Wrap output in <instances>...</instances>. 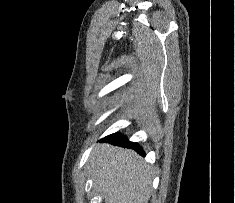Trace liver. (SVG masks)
Returning a JSON list of instances; mask_svg holds the SVG:
<instances>
[{"mask_svg": "<svg viewBox=\"0 0 235 203\" xmlns=\"http://www.w3.org/2000/svg\"><path fill=\"white\" fill-rule=\"evenodd\" d=\"M88 168L105 203H148L151 174L133 150L100 144L92 152Z\"/></svg>", "mask_w": 235, "mask_h": 203, "instance_id": "6515ba94", "label": "liver"}]
</instances>
